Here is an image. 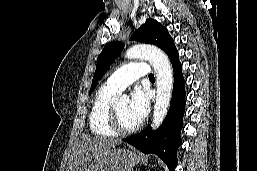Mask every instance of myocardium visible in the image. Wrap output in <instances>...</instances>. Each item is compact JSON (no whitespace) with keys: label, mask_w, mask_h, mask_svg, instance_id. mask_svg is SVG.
<instances>
[{"label":"myocardium","mask_w":257,"mask_h":171,"mask_svg":"<svg viewBox=\"0 0 257 171\" xmlns=\"http://www.w3.org/2000/svg\"><path fill=\"white\" fill-rule=\"evenodd\" d=\"M109 122H110L111 128L117 134H130V133L136 132L141 126L140 123H137L136 125H134L132 127H125L121 123L118 111L116 109L115 104H113V103H111V105H110Z\"/></svg>","instance_id":"f54148a6"}]
</instances>
